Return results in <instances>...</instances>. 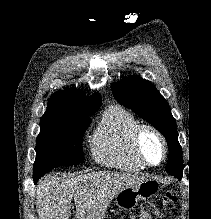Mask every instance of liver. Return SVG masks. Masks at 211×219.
Wrapping results in <instances>:
<instances>
[{
  "instance_id": "liver-1",
  "label": "liver",
  "mask_w": 211,
  "mask_h": 219,
  "mask_svg": "<svg viewBox=\"0 0 211 219\" xmlns=\"http://www.w3.org/2000/svg\"><path fill=\"white\" fill-rule=\"evenodd\" d=\"M146 180L135 174L90 172L77 176H44L36 190L39 219H69L74 200L77 219H103L115 196Z\"/></svg>"
}]
</instances>
